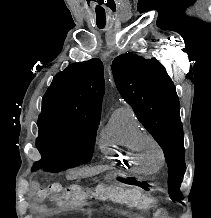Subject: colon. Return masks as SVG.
I'll return each mask as SVG.
<instances>
[{
  "label": "colon",
  "mask_w": 211,
  "mask_h": 218,
  "mask_svg": "<svg viewBox=\"0 0 211 218\" xmlns=\"http://www.w3.org/2000/svg\"><path fill=\"white\" fill-rule=\"evenodd\" d=\"M42 191L46 198L64 203H81L88 198H94L140 209L152 208L157 203L156 197L148 189L139 185L100 184L94 187H86L72 184L63 187L59 183H50Z\"/></svg>",
  "instance_id": "5ec220e1"
}]
</instances>
